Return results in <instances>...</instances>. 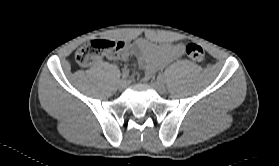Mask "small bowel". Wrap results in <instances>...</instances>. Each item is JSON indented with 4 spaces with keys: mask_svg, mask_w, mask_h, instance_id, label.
I'll list each match as a JSON object with an SVG mask.
<instances>
[{
    "mask_svg": "<svg viewBox=\"0 0 279 166\" xmlns=\"http://www.w3.org/2000/svg\"><path fill=\"white\" fill-rule=\"evenodd\" d=\"M184 48L179 43H162L157 44L146 38H139L135 45L126 47L119 53L108 54L107 58L127 59L131 54H134L140 66L144 69L146 78L151 77L157 70L162 69L174 59L183 54Z\"/></svg>",
    "mask_w": 279,
    "mask_h": 166,
    "instance_id": "small-bowel-1",
    "label": "small bowel"
}]
</instances>
